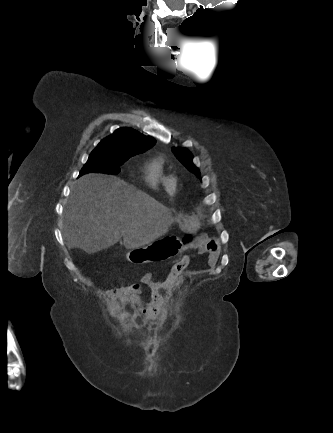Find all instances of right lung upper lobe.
I'll return each instance as SVG.
<instances>
[{"label":"right lung upper lobe","mask_w":333,"mask_h":433,"mask_svg":"<svg viewBox=\"0 0 333 433\" xmlns=\"http://www.w3.org/2000/svg\"><path fill=\"white\" fill-rule=\"evenodd\" d=\"M155 142L153 137L145 136L132 128L122 127L103 139L96 148L136 155L151 148Z\"/></svg>","instance_id":"right-lung-upper-lobe-1"}]
</instances>
